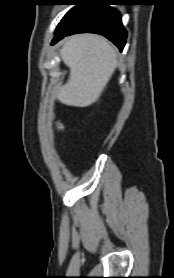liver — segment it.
<instances>
[{
  "instance_id": "obj_1",
  "label": "liver",
  "mask_w": 174,
  "mask_h": 278,
  "mask_svg": "<svg viewBox=\"0 0 174 278\" xmlns=\"http://www.w3.org/2000/svg\"><path fill=\"white\" fill-rule=\"evenodd\" d=\"M61 57L70 74L67 83L56 92L58 101L75 107L95 103L117 66L113 45L99 35H73L65 39Z\"/></svg>"
}]
</instances>
